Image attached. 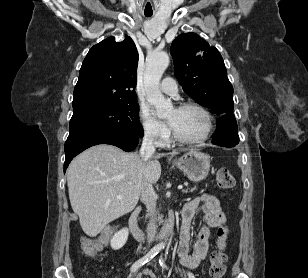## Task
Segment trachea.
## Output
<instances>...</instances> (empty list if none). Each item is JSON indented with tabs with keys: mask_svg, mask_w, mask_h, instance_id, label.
<instances>
[{
	"mask_svg": "<svg viewBox=\"0 0 308 278\" xmlns=\"http://www.w3.org/2000/svg\"><path fill=\"white\" fill-rule=\"evenodd\" d=\"M145 16L150 17V16H152V13H145Z\"/></svg>",
	"mask_w": 308,
	"mask_h": 278,
	"instance_id": "1",
	"label": "trachea"
}]
</instances>
